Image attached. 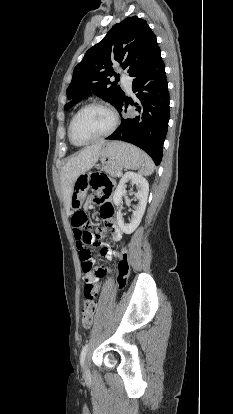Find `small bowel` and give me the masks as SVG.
<instances>
[{
    "label": "small bowel",
    "mask_w": 233,
    "mask_h": 414,
    "mask_svg": "<svg viewBox=\"0 0 233 414\" xmlns=\"http://www.w3.org/2000/svg\"><path fill=\"white\" fill-rule=\"evenodd\" d=\"M111 195L108 196L105 199V202H108V203L111 204V202H110ZM100 197H102V194L100 192H96L95 199L96 200H99ZM111 206H112L111 213L108 216H104L102 214H101V216H102L103 220L106 223V227L108 229V232H109L112 240L113 241H120L121 238H122V231L119 228V226H118V224L116 222V219L114 217V208H113V205L111 204ZM74 235L76 237V229H75V227H74ZM101 254L106 259H111L113 256L118 255L117 252H115L114 250H112L109 247H103L101 249ZM102 267H104V266H102ZM104 268H105L106 274H107V269H106V267H104ZM97 269H95V270L92 269L91 271H88V272H84L83 271L84 272V280H85L86 284H92V285H94L96 287V291H98V281H99V278H101V276H99L98 273H97Z\"/></svg>",
    "instance_id": "obj_1"
}]
</instances>
